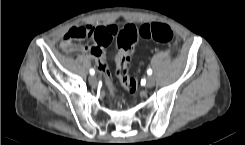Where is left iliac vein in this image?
Returning a JSON list of instances; mask_svg holds the SVG:
<instances>
[{
  "label": "left iliac vein",
  "mask_w": 245,
  "mask_h": 145,
  "mask_svg": "<svg viewBox=\"0 0 245 145\" xmlns=\"http://www.w3.org/2000/svg\"><path fill=\"white\" fill-rule=\"evenodd\" d=\"M154 85H155V79L152 76L148 77L146 81V86L150 88L153 87Z\"/></svg>",
  "instance_id": "left-iliac-vein-1"
}]
</instances>
